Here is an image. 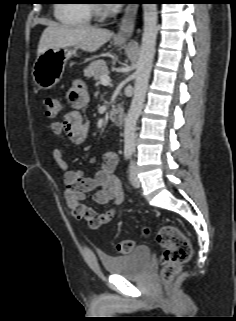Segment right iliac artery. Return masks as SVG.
Wrapping results in <instances>:
<instances>
[{
  "label": "right iliac artery",
  "instance_id": "1",
  "mask_svg": "<svg viewBox=\"0 0 236 321\" xmlns=\"http://www.w3.org/2000/svg\"><path fill=\"white\" fill-rule=\"evenodd\" d=\"M124 156H125V159L128 160L130 158V156H131V153L130 152H125Z\"/></svg>",
  "mask_w": 236,
  "mask_h": 321
}]
</instances>
